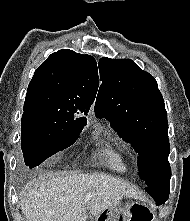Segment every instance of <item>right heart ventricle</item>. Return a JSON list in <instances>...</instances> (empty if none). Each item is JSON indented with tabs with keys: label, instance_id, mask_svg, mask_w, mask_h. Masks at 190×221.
<instances>
[{
	"label": "right heart ventricle",
	"instance_id": "e07e8e85",
	"mask_svg": "<svg viewBox=\"0 0 190 221\" xmlns=\"http://www.w3.org/2000/svg\"><path fill=\"white\" fill-rule=\"evenodd\" d=\"M100 155L110 169L120 173H125L128 171L129 167L127 159L121 150L113 147L110 144H106L101 149Z\"/></svg>",
	"mask_w": 190,
	"mask_h": 221
}]
</instances>
